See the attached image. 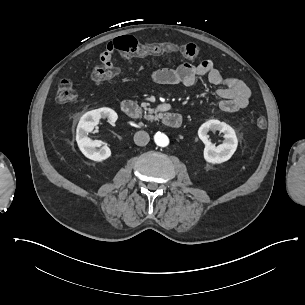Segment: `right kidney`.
Returning a JSON list of instances; mask_svg holds the SVG:
<instances>
[{
	"instance_id": "obj_1",
	"label": "right kidney",
	"mask_w": 305,
	"mask_h": 305,
	"mask_svg": "<svg viewBox=\"0 0 305 305\" xmlns=\"http://www.w3.org/2000/svg\"><path fill=\"white\" fill-rule=\"evenodd\" d=\"M101 118H107L110 123H114L118 119V115L114 110L106 107L92 110L81 117L77 127L78 146L87 158L94 161L105 160L111 155L109 147L103 146L101 149H96L101 142L88 137V133L93 130Z\"/></svg>"
}]
</instances>
